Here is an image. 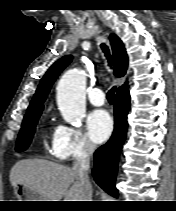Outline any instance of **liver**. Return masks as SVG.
Wrapping results in <instances>:
<instances>
[{
	"mask_svg": "<svg viewBox=\"0 0 176 211\" xmlns=\"http://www.w3.org/2000/svg\"><path fill=\"white\" fill-rule=\"evenodd\" d=\"M9 177L12 186L25 184L46 201H86L92 197V188L86 190L71 168L43 159L18 161Z\"/></svg>",
	"mask_w": 176,
	"mask_h": 211,
	"instance_id": "liver-1",
	"label": "liver"
}]
</instances>
